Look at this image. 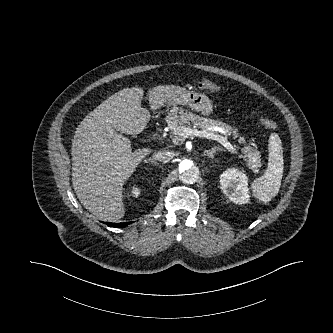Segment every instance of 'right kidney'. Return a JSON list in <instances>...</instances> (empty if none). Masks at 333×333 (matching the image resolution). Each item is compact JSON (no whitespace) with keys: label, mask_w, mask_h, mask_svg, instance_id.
Masks as SVG:
<instances>
[{"label":"right kidney","mask_w":333,"mask_h":333,"mask_svg":"<svg viewBox=\"0 0 333 333\" xmlns=\"http://www.w3.org/2000/svg\"><path fill=\"white\" fill-rule=\"evenodd\" d=\"M132 195L133 197H138L140 195V190L137 187L132 188Z\"/></svg>","instance_id":"ca27d5eb"}]
</instances>
